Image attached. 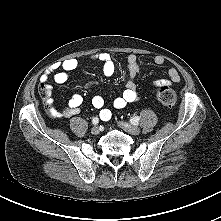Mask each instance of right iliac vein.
Here are the masks:
<instances>
[{"label":"right iliac vein","mask_w":221,"mask_h":221,"mask_svg":"<svg viewBox=\"0 0 221 221\" xmlns=\"http://www.w3.org/2000/svg\"><path fill=\"white\" fill-rule=\"evenodd\" d=\"M99 132H100V130H99V128H98L97 126L92 127L91 133H92L93 135H98Z\"/></svg>","instance_id":"right-iliac-vein-1"}]
</instances>
